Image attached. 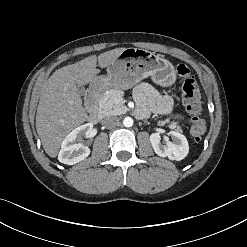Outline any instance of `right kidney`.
<instances>
[{
	"label": "right kidney",
	"instance_id": "obj_1",
	"mask_svg": "<svg viewBox=\"0 0 247 247\" xmlns=\"http://www.w3.org/2000/svg\"><path fill=\"white\" fill-rule=\"evenodd\" d=\"M93 125L86 123L75 128L63 140L61 150L58 155V160L67 165H74L90 154V149L82 145L80 142L83 137H88Z\"/></svg>",
	"mask_w": 247,
	"mask_h": 247
}]
</instances>
